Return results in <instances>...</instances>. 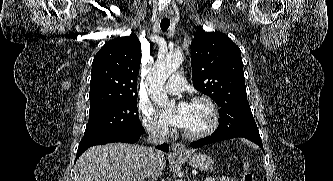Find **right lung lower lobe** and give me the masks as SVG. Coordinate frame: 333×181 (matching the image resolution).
Masks as SVG:
<instances>
[{"mask_svg": "<svg viewBox=\"0 0 333 181\" xmlns=\"http://www.w3.org/2000/svg\"><path fill=\"white\" fill-rule=\"evenodd\" d=\"M144 133H136V134H131V135H123V136H111V137H106V138H100V139H95L92 141H87V142H82L78 146L77 150V155L76 158H79V156L89 147L94 146V145H102L106 143H112V142H125V143H135L139 140L140 136ZM156 148L168 152L169 151V146L164 143L162 145H158Z\"/></svg>", "mask_w": 333, "mask_h": 181, "instance_id": "1", "label": "right lung lower lobe"}]
</instances>
